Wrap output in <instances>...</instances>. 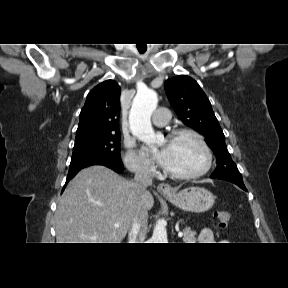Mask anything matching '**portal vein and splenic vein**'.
Segmentation results:
<instances>
[{
    "label": "portal vein and splenic vein",
    "mask_w": 288,
    "mask_h": 288,
    "mask_svg": "<svg viewBox=\"0 0 288 288\" xmlns=\"http://www.w3.org/2000/svg\"><path fill=\"white\" fill-rule=\"evenodd\" d=\"M114 226H115V227H119V224H115ZM182 236H183V232H179V233H178V237H182Z\"/></svg>",
    "instance_id": "1"
}]
</instances>
